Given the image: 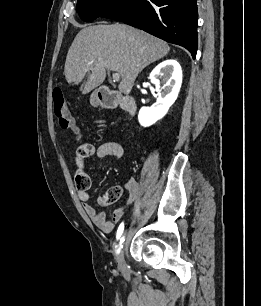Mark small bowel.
<instances>
[{
    "mask_svg": "<svg viewBox=\"0 0 261 306\" xmlns=\"http://www.w3.org/2000/svg\"><path fill=\"white\" fill-rule=\"evenodd\" d=\"M92 154H95L98 158H121L124 155V148L117 142H107L101 144L96 150L93 148ZM75 180L78 187L77 195L82 202L86 214L90 217L93 224L105 233H110L114 229L115 225L122 219L126 206L135 201L140 190L136 179H128L125 183V189L129 194L127 205L115 209L111 215V218L108 219L103 211L97 210L90 203V194L88 192L90 187V177L87 174L85 164L79 166L76 165Z\"/></svg>",
    "mask_w": 261,
    "mask_h": 306,
    "instance_id": "obj_1",
    "label": "small bowel"
}]
</instances>
